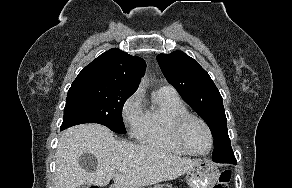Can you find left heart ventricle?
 I'll return each mask as SVG.
<instances>
[{
	"mask_svg": "<svg viewBox=\"0 0 292 188\" xmlns=\"http://www.w3.org/2000/svg\"><path fill=\"white\" fill-rule=\"evenodd\" d=\"M187 145L195 152L204 153L209 148V137L204 126L198 121H190L184 130Z\"/></svg>",
	"mask_w": 292,
	"mask_h": 188,
	"instance_id": "left-heart-ventricle-1",
	"label": "left heart ventricle"
}]
</instances>
